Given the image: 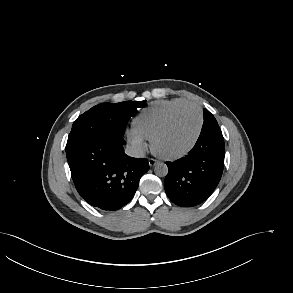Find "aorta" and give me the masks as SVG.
Segmentation results:
<instances>
[{"mask_svg": "<svg viewBox=\"0 0 293 293\" xmlns=\"http://www.w3.org/2000/svg\"><path fill=\"white\" fill-rule=\"evenodd\" d=\"M154 172L159 177H165L168 173V167L164 163H157L154 167Z\"/></svg>", "mask_w": 293, "mask_h": 293, "instance_id": "aorta-1", "label": "aorta"}]
</instances>
